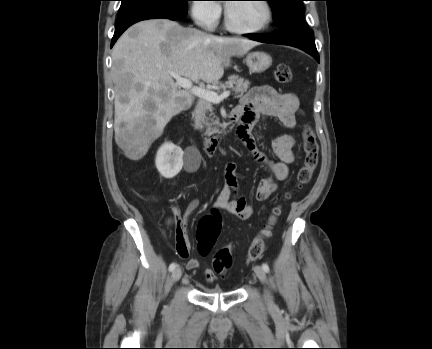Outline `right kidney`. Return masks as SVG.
<instances>
[{
	"instance_id": "right-kidney-1",
	"label": "right kidney",
	"mask_w": 432,
	"mask_h": 349,
	"mask_svg": "<svg viewBox=\"0 0 432 349\" xmlns=\"http://www.w3.org/2000/svg\"><path fill=\"white\" fill-rule=\"evenodd\" d=\"M183 150L173 143L163 144L157 151L155 165L161 176L175 177L183 167Z\"/></svg>"
}]
</instances>
